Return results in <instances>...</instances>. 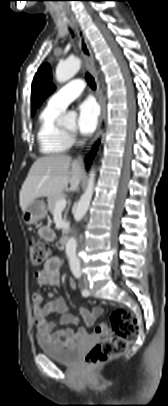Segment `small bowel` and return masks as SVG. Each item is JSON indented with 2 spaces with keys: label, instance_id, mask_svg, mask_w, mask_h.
I'll use <instances>...</instances> for the list:
<instances>
[{
  "label": "small bowel",
  "instance_id": "1",
  "mask_svg": "<svg viewBox=\"0 0 168 406\" xmlns=\"http://www.w3.org/2000/svg\"><path fill=\"white\" fill-rule=\"evenodd\" d=\"M40 237L47 241L54 240L55 234L48 226H43L39 229ZM61 260L58 256L50 257L45 263L43 269L38 270L34 274L37 285H57L60 282ZM70 288L75 289L76 283L70 281ZM51 299L48 303L43 304V297L39 293L32 295V309L34 321L38 330V337L43 338L53 344L60 346H72L80 339L89 337L87 329L95 327L98 317L102 315V308L94 306L91 310L81 308L80 312L85 321V328L77 330L71 328L70 324H77L78 318L67 314L68 306L63 298L54 297L52 293L48 294ZM57 312L61 314V324L65 327L60 331H55V323L47 319L48 315ZM97 335L102 334L96 327Z\"/></svg>",
  "mask_w": 168,
  "mask_h": 406
}]
</instances>
